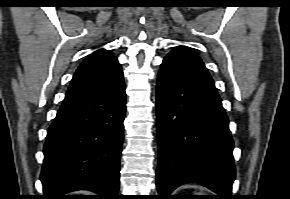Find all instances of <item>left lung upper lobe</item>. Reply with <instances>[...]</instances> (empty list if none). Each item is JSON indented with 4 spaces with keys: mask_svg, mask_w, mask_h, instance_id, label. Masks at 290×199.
Instances as JSON below:
<instances>
[{
    "mask_svg": "<svg viewBox=\"0 0 290 199\" xmlns=\"http://www.w3.org/2000/svg\"><path fill=\"white\" fill-rule=\"evenodd\" d=\"M175 49H176V50H182V51H184V52L190 54L191 56H194L195 58H197L198 60L201 61V59H200V58H199V57H198L194 52L188 50V49H187L186 47H184V46H179V47H176Z\"/></svg>",
    "mask_w": 290,
    "mask_h": 199,
    "instance_id": "1",
    "label": "left lung upper lobe"
}]
</instances>
